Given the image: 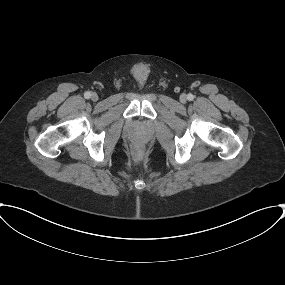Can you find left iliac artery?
Listing matches in <instances>:
<instances>
[{
  "instance_id": "left-iliac-artery-1",
  "label": "left iliac artery",
  "mask_w": 285,
  "mask_h": 285,
  "mask_svg": "<svg viewBox=\"0 0 285 285\" xmlns=\"http://www.w3.org/2000/svg\"><path fill=\"white\" fill-rule=\"evenodd\" d=\"M187 99L189 100V101H192L193 99H194V95L193 94H188L187 95Z\"/></svg>"
}]
</instances>
